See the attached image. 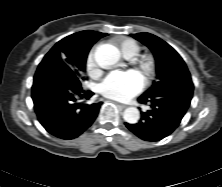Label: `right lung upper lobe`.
<instances>
[{"mask_svg":"<svg viewBox=\"0 0 222 187\" xmlns=\"http://www.w3.org/2000/svg\"><path fill=\"white\" fill-rule=\"evenodd\" d=\"M106 33L95 32V31H81L75 34H72L62 40H60L51 50V53L54 52H62V51H70L72 49H79L81 47H89L100 38L106 36ZM89 52V51H88ZM47 62L53 61L51 59H44Z\"/></svg>","mask_w":222,"mask_h":187,"instance_id":"right-lung-upper-lobe-1","label":"right lung upper lobe"}]
</instances>
